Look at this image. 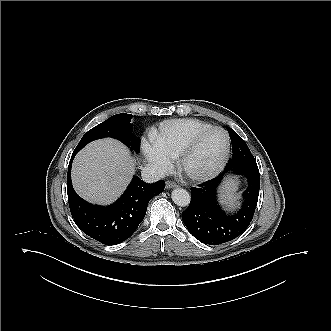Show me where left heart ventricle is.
<instances>
[{"mask_svg":"<svg viewBox=\"0 0 331 331\" xmlns=\"http://www.w3.org/2000/svg\"><path fill=\"white\" fill-rule=\"evenodd\" d=\"M225 147L222 133L215 131L206 135L186 162V171L191 174L205 173L220 161Z\"/></svg>","mask_w":331,"mask_h":331,"instance_id":"b2bd125f","label":"left heart ventricle"}]
</instances>
